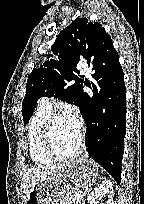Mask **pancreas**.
<instances>
[{"label":"pancreas","mask_w":144,"mask_h":204,"mask_svg":"<svg viewBox=\"0 0 144 204\" xmlns=\"http://www.w3.org/2000/svg\"><path fill=\"white\" fill-rule=\"evenodd\" d=\"M76 191H72L67 193L66 195H60L59 200L61 201L60 204H78L79 199L76 197Z\"/></svg>","instance_id":"cf45deb5"}]
</instances>
